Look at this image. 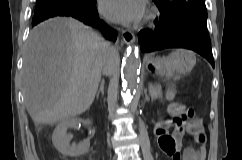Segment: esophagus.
I'll use <instances>...</instances> for the list:
<instances>
[{
  "instance_id": "esophagus-1",
  "label": "esophagus",
  "mask_w": 242,
  "mask_h": 160,
  "mask_svg": "<svg viewBox=\"0 0 242 160\" xmlns=\"http://www.w3.org/2000/svg\"><path fill=\"white\" fill-rule=\"evenodd\" d=\"M122 39H123L124 43L129 45V44H132L135 41V35L131 31L123 30L122 31Z\"/></svg>"
}]
</instances>
